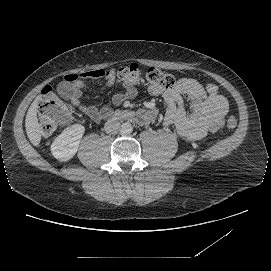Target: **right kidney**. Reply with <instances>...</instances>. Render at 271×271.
Here are the masks:
<instances>
[{"instance_id":"right-kidney-1","label":"right kidney","mask_w":271,"mask_h":271,"mask_svg":"<svg viewBox=\"0 0 271 271\" xmlns=\"http://www.w3.org/2000/svg\"><path fill=\"white\" fill-rule=\"evenodd\" d=\"M83 133L84 127L82 125L66 128L51 146L53 155L63 161L70 159L76 153Z\"/></svg>"}]
</instances>
